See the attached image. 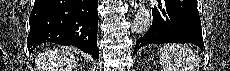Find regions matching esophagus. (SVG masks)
I'll list each match as a JSON object with an SVG mask.
<instances>
[{
	"label": "esophagus",
	"mask_w": 230,
	"mask_h": 71,
	"mask_svg": "<svg viewBox=\"0 0 230 71\" xmlns=\"http://www.w3.org/2000/svg\"><path fill=\"white\" fill-rule=\"evenodd\" d=\"M130 5L134 9H137L141 5V0H130Z\"/></svg>",
	"instance_id": "1"
}]
</instances>
